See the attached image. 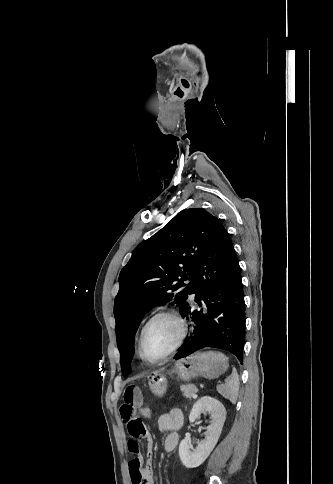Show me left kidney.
Here are the masks:
<instances>
[{"label":"left kidney","instance_id":"1","mask_svg":"<svg viewBox=\"0 0 333 484\" xmlns=\"http://www.w3.org/2000/svg\"><path fill=\"white\" fill-rule=\"evenodd\" d=\"M205 412L209 413L211 419L210 425L205 428V438L193 450L187 439H183L179 445L180 459L187 468H196L207 459L218 442L226 419L224 405L212 397L205 396L193 405L189 415L190 422H194L201 413Z\"/></svg>","mask_w":333,"mask_h":484}]
</instances>
